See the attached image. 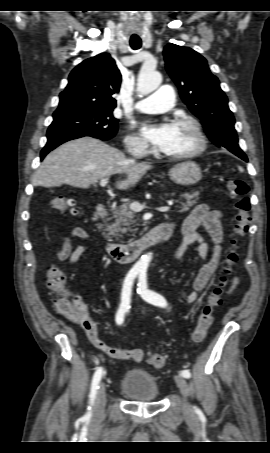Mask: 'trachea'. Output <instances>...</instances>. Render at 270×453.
I'll use <instances>...</instances> for the list:
<instances>
[{
	"mask_svg": "<svg viewBox=\"0 0 270 453\" xmlns=\"http://www.w3.org/2000/svg\"><path fill=\"white\" fill-rule=\"evenodd\" d=\"M142 42L141 40H132L130 41V46L133 50H137L141 47Z\"/></svg>",
	"mask_w": 270,
	"mask_h": 453,
	"instance_id": "trachea-1",
	"label": "trachea"
}]
</instances>
